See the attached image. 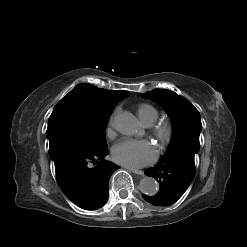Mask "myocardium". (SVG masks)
Masks as SVG:
<instances>
[{"instance_id":"f54148a6","label":"myocardium","mask_w":247,"mask_h":247,"mask_svg":"<svg viewBox=\"0 0 247 247\" xmlns=\"http://www.w3.org/2000/svg\"><path fill=\"white\" fill-rule=\"evenodd\" d=\"M152 133L162 145L168 144L172 137L174 128L170 121H162L151 126Z\"/></svg>"}]
</instances>
